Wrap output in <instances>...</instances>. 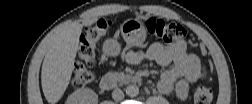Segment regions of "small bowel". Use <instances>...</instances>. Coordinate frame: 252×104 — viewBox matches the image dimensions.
<instances>
[{
    "label": "small bowel",
    "mask_w": 252,
    "mask_h": 104,
    "mask_svg": "<svg viewBox=\"0 0 252 104\" xmlns=\"http://www.w3.org/2000/svg\"><path fill=\"white\" fill-rule=\"evenodd\" d=\"M146 60L166 68L157 83L158 91L161 94L175 92L181 100L187 98L190 86L204 77L198 57L187 50L184 40L170 44L154 43L147 50H133L126 55V61L131 65Z\"/></svg>",
    "instance_id": "small-bowel-1"
}]
</instances>
